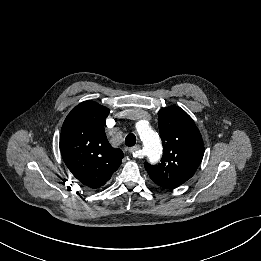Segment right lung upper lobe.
<instances>
[{
  "mask_svg": "<svg viewBox=\"0 0 261 261\" xmlns=\"http://www.w3.org/2000/svg\"><path fill=\"white\" fill-rule=\"evenodd\" d=\"M108 115V108L85 101L68 114L61 129L60 151L66 166L93 189L106 184L124 157L107 140L103 124Z\"/></svg>",
  "mask_w": 261,
  "mask_h": 261,
  "instance_id": "cb5924a9",
  "label": "right lung upper lobe"
}]
</instances>
